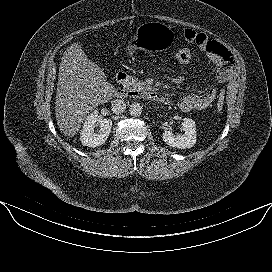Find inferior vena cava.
<instances>
[{"label": "inferior vena cava", "mask_w": 272, "mask_h": 272, "mask_svg": "<svg viewBox=\"0 0 272 272\" xmlns=\"http://www.w3.org/2000/svg\"><path fill=\"white\" fill-rule=\"evenodd\" d=\"M111 108L114 114H120L125 111L126 103L124 100L116 99L111 102Z\"/></svg>", "instance_id": "1"}]
</instances>
